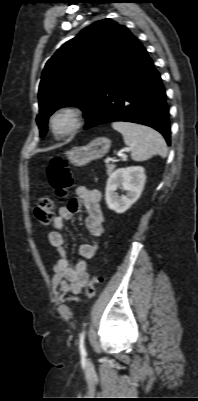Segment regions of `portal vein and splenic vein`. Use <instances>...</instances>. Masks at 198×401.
I'll use <instances>...</instances> for the list:
<instances>
[{
	"instance_id": "18ae733b",
	"label": "portal vein and splenic vein",
	"mask_w": 198,
	"mask_h": 401,
	"mask_svg": "<svg viewBox=\"0 0 198 401\" xmlns=\"http://www.w3.org/2000/svg\"><path fill=\"white\" fill-rule=\"evenodd\" d=\"M119 156L122 157V158H127V156H126L125 153H119ZM113 159H114V158H108V159L106 160V162L108 163L109 161H111V160H113Z\"/></svg>"
}]
</instances>
